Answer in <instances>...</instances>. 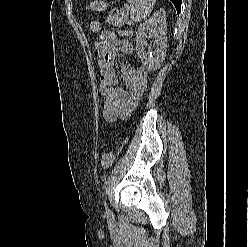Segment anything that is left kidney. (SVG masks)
I'll use <instances>...</instances> for the list:
<instances>
[{
	"label": "left kidney",
	"mask_w": 248,
	"mask_h": 247,
	"mask_svg": "<svg viewBox=\"0 0 248 247\" xmlns=\"http://www.w3.org/2000/svg\"><path fill=\"white\" fill-rule=\"evenodd\" d=\"M166 34V12L162 8L156 11L150 19L141 23L137 30L136 52L142 64L150 71L157 70L165 58L167 49ZM149 38L154 39L155 50L152 56H149L145 49Z\"/></svg>",
	"instance_id": "left-kidney-1"
}]
</instances>
